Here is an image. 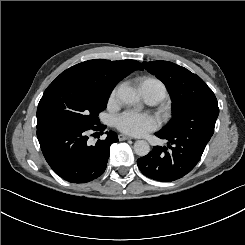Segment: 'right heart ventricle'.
I'll return each mask as SVG.
<instances>
[{
    "label": "right heart ventricle",
    "mask_w": 245,
    "mask_h": 245,
    "mask_svg": "<svg viewBox=\"0 0 245 245\" xmlns=\"http://www.w3.org/2000/svg\"><path fill=\"white\" fill-rule=\"evenodd\" d=\"M145 86H148V87L158 91L160 93V95H161V98H163L166 95L165 86L163 85L162 82H160L157 79H147V80H145L141 84L140 88L145 87Z\"/></svg>",
    "instance_id": "1"
}]
</instances>
